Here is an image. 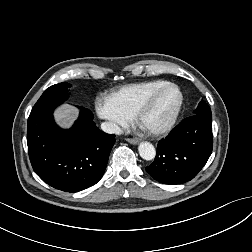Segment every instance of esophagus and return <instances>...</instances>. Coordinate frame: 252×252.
Here are the masks:
<instances>
[{
    "instance_id": "1",
    "label": "esophagus",
    "mask_w": 252,
    "mask_h": 252,
    "mask_svg": "<svg viewBox=\"0 0 252 252\" xmlns=\"http://www.w3.org/2000/svg\"><path fill=\"white\" fill-rule=\"evenodd\" d=\"M126 141L133 145H136L139 142L138 139H133V138H127Z\"/></svg>"
}]
</instances>
